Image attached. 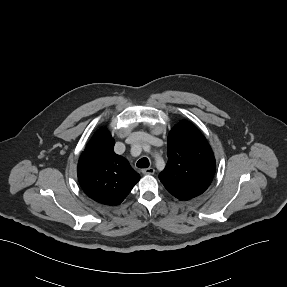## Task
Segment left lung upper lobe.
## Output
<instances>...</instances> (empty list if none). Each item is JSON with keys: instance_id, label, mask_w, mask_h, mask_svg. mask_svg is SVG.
Segmentation results:
<instances>
[{"instance_id": "1", "label": "left lung upper lobe", "mask_w": 287, "mask_h": 287, "mask_svg": "<svg viewBox=\"0 0 287 287\" xmlns=\"http://www.w3.org/2000/svg\"><path fill=\"white\" fill-rule=\"evenodd\" d=\"M168 162L159 174L164 187L179 200L202 194L215 173V158L205 137L190 122L181 121L168 135Z\"/></svg>"}]
</instances>
